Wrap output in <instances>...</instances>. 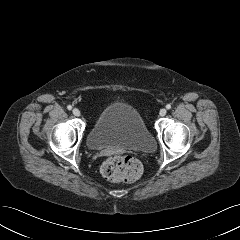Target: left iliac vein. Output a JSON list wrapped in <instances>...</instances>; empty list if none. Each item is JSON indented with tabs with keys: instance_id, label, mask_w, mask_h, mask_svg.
Here are the masks:
<instances>
[{
	"instance_id": "obj_1",
	"label": "left iliac vein",
	"mask_w": 240,
	"mask_h": 240,
	"mask_svg": "<svg viewBox=\"0 0 240 240\" xmlns=\"http://www.w3.org/2000/svg\"><path fill=\"white\" fill-rule=\"evenodd\" d=\"M167 113L166 109L162 108L160 111H159V114L160 116H165Z\"/></svg>"
}]
</instances>
